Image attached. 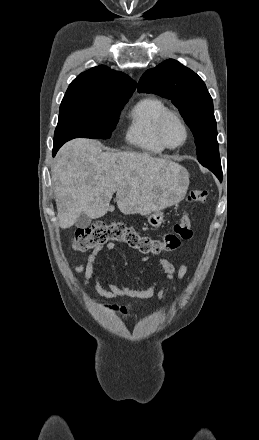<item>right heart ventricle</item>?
<instances>
[{
	"instance_id": "obj_1",
	"label": "right heart ventricle",
	"mask_w": 259,
	"mask_h": 440,
	"mask_svg": "<svg viewBox=\"0 0 259 440\" xmlns=\"http://www.w3.org/2000/svg\"><path fill=\"white\" fill-rule=\"evenodd\" d=\"M167 105L156 97L140 99L128 114L125 139L131 145L150 154H161L165 148L160 144L156 127Z\"/></svg>"
}]
</instances>
